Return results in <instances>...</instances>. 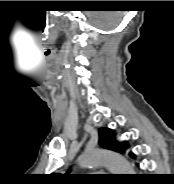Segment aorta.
I'll return each instance as SVG.
<instances>
[{"label": "aorta", "instance_id": "762f6f07", "mask_svg": "<svg viewBox=\"0 0 174 184\" xmlns=\"http://www.w3.org/2000/svg\"><path fill=\"white\" fill-rule=\"evenodd\" d=\"M82 167L105 165L113 174H133L130 163L120 154L106 150H91L79 157Z\"/></svg>", "mask_w": 174, "mask_h": 184}]
</instances>
